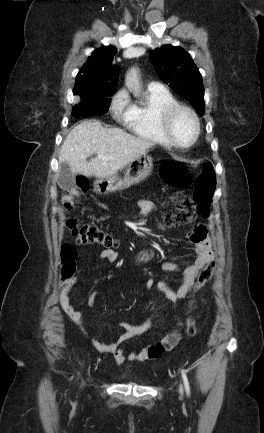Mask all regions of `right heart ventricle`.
I'll return each instance as SVG.
<instances>
[{"label":"right heart ventricle","mask_w":264,"mask_h":433,"mask_svg":"<svg viewBox=\"0 0 264 433\" xmlns=\"http://www.w3.org/2000/svg\"><path fill=\"white\" fill-rule=\"evenodd\" d=\"M176 103V99L168 90L148 88L140 100L131 103L125 126L139 138L170 146L161 129L160 114L164 108Z\"/></svg>","instance_id":"e07e8e85"}]
</instances>
